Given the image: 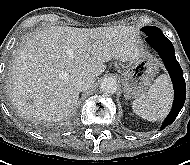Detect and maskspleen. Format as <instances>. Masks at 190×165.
<instances>
[{
	"mask_svg": "<svg viewBox=\"0 0 190 165\" xmlns=\"http://www.w3.org/2000/svg\"><path fill=\"white\" fill-rule=\"evenodd\" d=\"M173 101V88L166 74L154 80L149 90L132 103L134 112L148 121H159L168 114Z\"/></svg>",
	"mask_w": 190,
	"mask_h": 165,
	"instance_id": "spleen-1",
	"label": "spleen"
}]
</instances>
